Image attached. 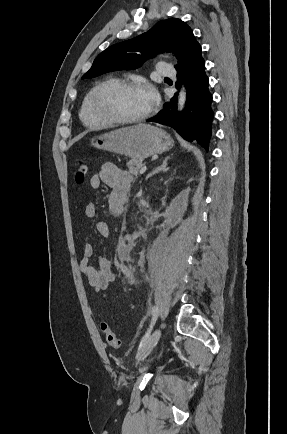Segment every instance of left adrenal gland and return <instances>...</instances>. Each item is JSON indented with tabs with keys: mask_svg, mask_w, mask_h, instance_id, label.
<instances>
[{
	"mask_svg": "<svg viewBox=\"0 0 287 434\" xmlns=\"http://www.w3.org/2000/svg\"><path fill=\"white\" fill-rule=\"evenodd\" d=\"M169 159H170L169 156L166 157V158L164 159L163 163H162L159 167L155 168L152 172H150V173L147 175L146 179L152 177L153 175H155V174H157V173H159V172H161V171H165V170H167V169H168V167H167V162H168Z\"/></svg>",
	"mask_w": 287,
	"mask_h": 434,
	"instance_id": "1",
	"label": "left adrenal gland"
}]
</instances>
